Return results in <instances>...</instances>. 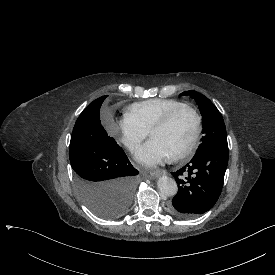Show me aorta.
<instances>
[{
    "mask_svg": "<svg viewBox=\"0 0 275 275\" xmlns=\"http://www.w3.org/2000/svg\"><path fill=\"white\" fill-rule=\"evenodd\" d=\"M156 183L162 195L172 196L175 195L177 192L176 182L171 177L161 175L159 176Z\"/></svg>",
    "mask_w": 275,
    "mask_h": 275,
    "instance_id": "aorta-1",
    "label": "aorta"
}]
</instances>
